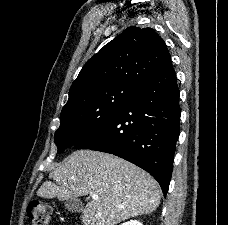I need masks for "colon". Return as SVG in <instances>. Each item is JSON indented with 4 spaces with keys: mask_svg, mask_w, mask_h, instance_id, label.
<instances>
[{
    "mask_svg": "<svg viewBox=\"0 0 228 225\" xmlns=\"http://www.w3.org/2000/svg\"><path fill=\"white\" fill-rule=\"evenodd\" d=\"M27 215L33 225H50V207L42 201L32 200L27 207Z\"/></svg>",
    "mask_w": 228,
    "mask_h": 225,
    "instance_id": "colon-1",
    "label": "colon"
}]
</instances>
